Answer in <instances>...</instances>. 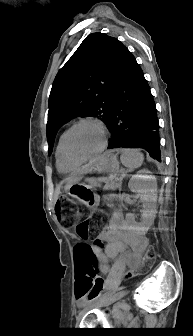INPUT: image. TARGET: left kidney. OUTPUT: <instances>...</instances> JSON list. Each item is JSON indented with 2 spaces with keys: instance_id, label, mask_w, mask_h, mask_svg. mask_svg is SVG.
Listing matches in <instances>:
<instances>
[{
  "instance_id": "obj_1",
  "label": "left kidney",
  "mask_w": 193,
  "mask_h": 336,
  "mask_svg": "<svg viewBox=\"0 0 193 336\" xmlns=\"http://www.w3.org/2000/svg\"><path fill=\"white\" fill-rule=\"evenodd\" d=\"M149 171L142 170L132 176L128 183V187L132 192L140 194L143 202L142 222L136 224L132 214H126L128 223L140 230H147L154 220L157 202V182L153 175H148Z\"/></svg>"
}]
</instances>
